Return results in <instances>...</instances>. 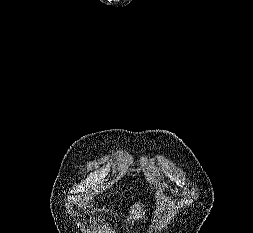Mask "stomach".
Returning a JSON list of instances; mask_svg holds the SVG:
<instances>
[{
  "mask_svg": "<svg viewBox=\"0 0 253 233\" xmlns=\"http://www.w3.org/2000/svg\"><path fill=\"white\" fill-rule=\"evenodd\" d=\"M145 205L140 201L136 202L131 206L129 216L126 218L127 223H134V221H138L143 218L145 214Z\"/></svg>",
  "mask_w": 253,
  "mask_h": 233,
  "instance_id": "1",
  "label": "stomach"
}]
</instances>
